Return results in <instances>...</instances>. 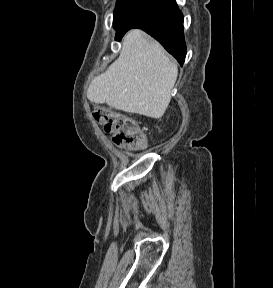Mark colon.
Here are the masks:
<instances>
[{"instance_id": "1", "label": "colon", "mask_w": 273, "mask_h": 288, "mask_svg": "<svg viewBox=\"0 0 273 288\" xmlns=\"http://www.w3.org/2000/svg\"><path fill=\"white\" fill-rule=\"evenodd\" d=\"M92 115L98 123L104 125L117 146L129 149L145 146L146 137L132 117L104 106H95Z\"/></svg>"}]
</instances>
